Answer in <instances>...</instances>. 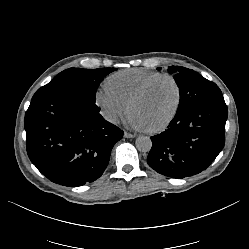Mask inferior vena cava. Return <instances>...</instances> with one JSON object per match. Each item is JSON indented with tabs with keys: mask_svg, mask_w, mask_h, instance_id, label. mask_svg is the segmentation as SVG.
<instances>
[{
	"mask_svg": "<svg viewBox=\"0 0 249 249\" xmlns=\"http://www.w3.org/2000/svg\"><path fill=\"white\" fill-rule=\"evenodd\" d=\"M102 116L104 117L105 120H107L110 123L117 124L118 123V118L115 114L110 113V112H102Z\"/></svg>",
	"mask_w": 249,
	"mask_h": 249,
	"instance_id": "1",
	"label": "inferior vena cava"
}]
</instances>
